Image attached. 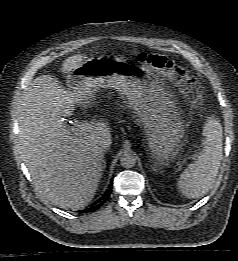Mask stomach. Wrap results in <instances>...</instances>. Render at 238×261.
<instances>
[{
  "instance_id": "1",
  "label": "stomach",
  "mask_w": 238,
  "mask_h": 261,
  "mask_svg": "<svg viewBox=\"0 0 238 261\" xmlns=\"http://www.w3.org/2000/svg\"><path fill=\"white\" fill-rule=\"evenodd\" d=\"M67 84L84 106L93 104L100 88L116 89L143 124L155 160L167 164L176 157L184 138L182 115L148 65L126 58L89 59L67 75Z\"/></svg>"
}]
</instances>
